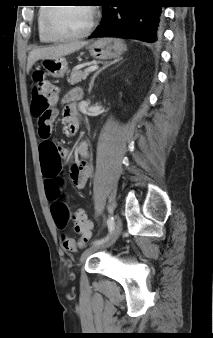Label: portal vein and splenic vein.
I'll list each match as a JSON object with an SVG mask.
<instances>
[{"instance_id":"18ae733b","label":"portal vein and splenic vein","mask_w":213,"mask_h":338,"mask_svg":"<svg viewBox=\"0 0 213 338\" xmlns=\"http://www.w3.org/2000/svg\"><path fill=\"white\" fill-rule=\"evenodd\" d=\"M96 69H98V66L93 65V66H90L87 69H85V72H92V71H95Z\"/></svg>"}]
</instances>
